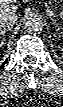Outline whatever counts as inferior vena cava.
Segmentation results:
<instances>
[{
  "label": "inferior vena cava",
  "instance_id": "602c4592",
  "mask_svg": "<svg viewBox=\"0 0 63 107\" xmlns=\"http://www.w3.org/2000/svg\"><path fill=\"white\" fill-rule=\"evenodd\" d=\"M18 19L17 13L10 10H1L0 12V27L10 28Z\"/></svg>",
  "mask_w": 63,
  "mask_h": 107
}]
</instances>
